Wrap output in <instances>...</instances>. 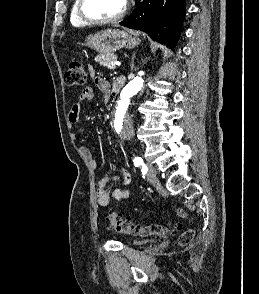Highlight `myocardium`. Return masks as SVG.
<instances>
[{
	"label": "myocardium",
	"mask_w": 259,
	"mask_h": 294,
	"mask_svg": "<svg viewBox=\"0 0 259 294\" xmlns=\"http://www.w3.org/2000/svg\"><path fill=\"white\" fill-rule=\"evenodd\" d=\"M85 2L86 0H78L77 14L80 20L84 22L86 25H106V24L116 23L125 16L128 10L127 4L124 3L123 9L117 15L110 18L96 19V18L90 17L85 12Z\"/></svg>",
	"instance_id": "f54148a6"
}]
</instances>
